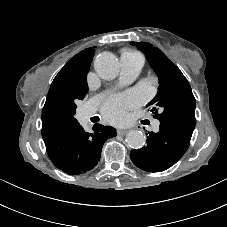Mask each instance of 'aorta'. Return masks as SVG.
I'll list each match as a JSON object with an SVG mask.
<instances>
[{
    "label": "aorta",
    "mask_w": 227,
    "mask_h": 227,
    "mask_svg": "<svg viewBox=\"0 0 227 227\" xmlns=\"http://www.w3.org/2000/svg\"><path fill=\"white\" fill-rule=\"evenodd\" d=\"M94 69L102 79H113L119 72V60L111 52H102L94 60ZM126 141L131 148L139 149L145 145L146 136L141 131L131 130L126 136Z\"/></svg>",
    "instance_id": "762f6f07"
}]
</instances>
